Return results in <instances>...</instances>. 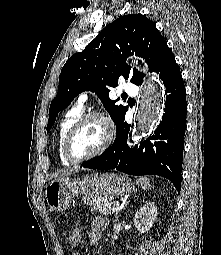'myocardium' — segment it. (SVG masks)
Wrapping results in <instances>:
<instances>
[{"mask_svg":"<svg viewBox=\"0 0 221 255\" xmlns=\"http://www.w3.org/2000/svg\"><path fill=\"white\" fill-rule=\"evenodd\" d=\"M93 119L99 120L103 124L105 129L104 141L101 144V146L93 153L81 158H77L72 153V142L78 131L82 128V126L86 124L88 121ZM114 134H115L114 125L108 115L104 114L103 112L97 111L82 114V116L73 124V126L67 133L64 142V155L66 159L72 164H81L83 162L89 161L93 158L98 157L107 150V148L110 146L114 138Z\"/></svg>","mask_w":221,"mask_h":255,"instance_id":"f54148a6","label":"myocardium"}]
</instances>
